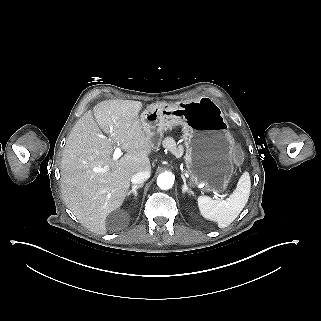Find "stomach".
<instances>
[{"mask_svg": "<svg viewBox=\"0 0 321 321\" xmlns=\"http://www.w3.org/2000/svg\"><path fill=\"white\" fill-rule=\"evenodd\" d=\"M204 99L157 100L142 112L141 119L153 147L159 146L165 132L181 126L189 183L199 191L217 195L227 190L233 178L231 155L236 142L222 111Z\"/></svg>", "mask_w": 321, "mask_h": 321, "instance_id": "stomach-1", "label": "stomach"}]
</instances>
